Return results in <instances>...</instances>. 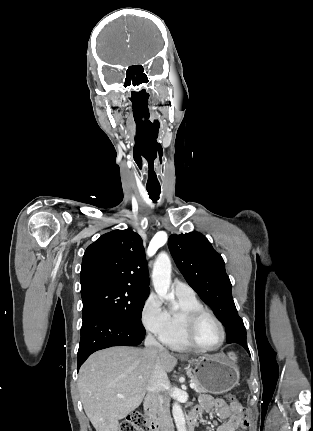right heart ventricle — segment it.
Masks as SVG:
<instances>
[{
	"instance_id": "e07e8e85",
	"label": "right heart ventricle",
	"mask_w": 313,
	"mask_h": 431,
	"mask_svg": "<svg viewBox=\"0 0 313 431\" xmlns=\"http://www.w3.org/2000/svg\"><path fill=\"white\" fill-rule=\"evenodd\" d=\"M178 309H170L168 312V329L161 339L162 342L173 350L185 351L192 347L184 336V324L187 315L197 309L203 308L199 299L195 296L177 295Z\"/></svg>"
}]
</instances>
